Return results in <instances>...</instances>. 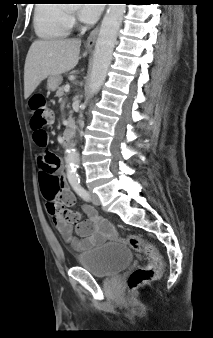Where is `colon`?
I'll list each match as a JSON object with an SVG mask.
<instances>
[{"mask_svg":"<svg viewBox=\"0 0 213 338\" xmlns=\"http://www.w3.org/2000/svg\"><path fill=\"white\" fill-rule=\"evenodd\" d=\"M29 106L32 111L31 127L34 131V143L36 146L44 148L49 142V135L44 130V127L53 122L52 112L48 108L44 96L41 94L33 96L29 101ZM39 169L46 180V191L49 194H54L58 185V179L56 177L57 169L49 165V159L46 154H44L39 161ZM59 208L60 205L57 201L47 202V210L53 220L58 213ZM66 219L69 222L76 223L78 216L75 212L69 211L66 213ZM123 241H125L133 250L143 253L146 258V263L129 276V288H140L158 278L162 263L156 247L152 243L136 235L127 236Z\"/></svg>","mask_w":213,"mask_h":338,"instance_id":"obj_1","label":"colon"}]
</instances>
